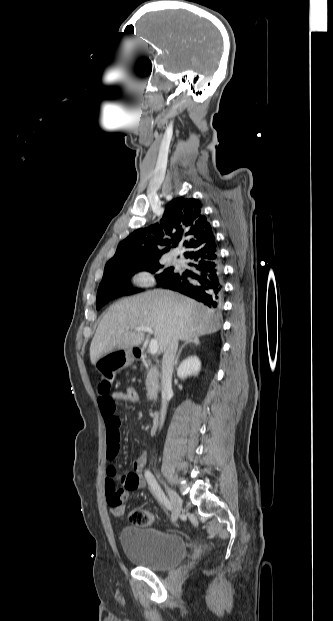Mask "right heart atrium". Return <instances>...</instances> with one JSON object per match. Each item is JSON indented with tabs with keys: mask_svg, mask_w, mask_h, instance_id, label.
I'll return each mask as SVG.
<instances>
[{
	"mask_svg": "<svg viewBox=\"0 0 333 621\" xmlns=\"http://www.w3.org/2000/svg\"><path fill=\"white\" fill-rule=\"evenodd\" d=\"M154 283L153 275L146 270L139 271L133 277V284L138 287H151Z\"/></svg>",
	"mask_w": 333,
	"mask_h": 621,
	"instance_id": "d8ad5b80",
	"label": "right heart atrium"
}]
</instances>
